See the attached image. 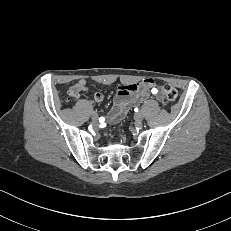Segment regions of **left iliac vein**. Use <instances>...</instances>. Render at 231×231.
Returning a JSON list of instances; mask_svg holds the SVG:
<instances>
[{"mask_svg": "<svg viewBox=\"0 0 231 231\" xmlns=\"http://www.w3.org/2000/svg\"><path fill=\"white\" fill-rule=\"evenodd\" d=\"M134 118H135V121L137 123H141L143 121V118H144L143 113L142 112H137L135 114Z\"/></svg>", "mask_w": 231, "mask_h": 231, "instance_id": "left-iliac-vein-1", "label": "left iliac vein"}]
</instances>
